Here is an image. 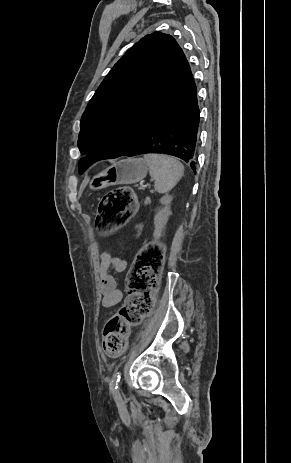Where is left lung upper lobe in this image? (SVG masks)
I'll list each match as a JSON object with an SVG mask.
<instances>
[{
  "label": "left lung upper lobe",
  "instance_id": "left-lung-upper-lobe-1",
  "mask_svg": "<svg viewBox=\"0 0 291 463\" xmlns=\"http://www.w3.org/2000/svg\"><path fill=\"white\" fill-rule=\"evenodd\" d=\"M193 80L175 39L155 32L133 45L114 65L89 101L80 121L78 147L94 162L132 149Z\"/></svg>",
  "mask_w": 291,
  "mask_h": 463
}]
</instances>
